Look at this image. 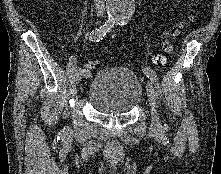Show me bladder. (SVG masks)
Wrapping results in <instances>:
<instances>
[{"instance_id":"31cf9c89","label":"bladder","mask_w":221,"mask_h":174,"mask_svg":"<svg viewBox=\"0 0 221 174\" xmlns=\"http://www.w3.org/2000/svg\"><path fill=\"white\" fill-rule=\"evenodd\" d=\"M142 94L141 82L131 70L110 66L92 78L87 99L101 113L126 114L139 105Z\"/></svg>"}]
</instances>
